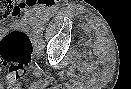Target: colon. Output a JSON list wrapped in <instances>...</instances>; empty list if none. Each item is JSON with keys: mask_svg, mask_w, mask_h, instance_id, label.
Returning <instances> with one entry per match:
<instances>
[{"mask_svg": "<svg viewBox=\"0 0 131 89\" xmlns=\"http://www.w3.org/2000/svg\"><path fill=\"white\" fill-rule=\"evenodd\" d=\"M24 4L10 0H0V21L17 17ZM33 46L30 38L23 32L14 31L0 39V69L7 66L4 84L8 88H17L27 73L32 61Z\"/></svg>", "mask_w": 131, "mask_h": 89, "instance_id": "1", "label": "colon"}]
</instances>
